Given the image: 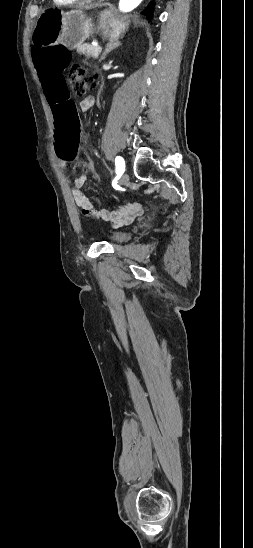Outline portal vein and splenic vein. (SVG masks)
<instances>
[{
  "label": "portal vein and splenic vein",
  "mask_w": 253,
  "mask_h": 548,
  "mask_svg": "<svg viewBox=\"0 0 253 548\" xmlns=\"http://www.w3.org/2000/svg\"><path fill=\"white\" fill-rule=\"evenodd\" d=\"M97 50H98V51H101V50H102V48H101L100 46H98V47H97Z\"/></svg>",
  "instance_id": "1"
}]
</instances>
